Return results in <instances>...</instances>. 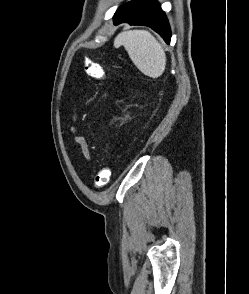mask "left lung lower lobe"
Returning <instances> with one entry per match:
<instances>
[{"label":"left lung lower lobe","mask_w":249,"mask_h":294,"mask_svg":"<svg viewBox=\"0 0 249 294\" xmlns=\"http://www.w3.org/2000/svg\"><path fill=\"white\" fill-rule=\"evenodd\" d=\"M127 22L131 25H145L158 32L167 44L171 31L167 18L156 0H132L118 8L114 24Z\"/></svg>","instance_id":"0a47b994"}]
</instances>
